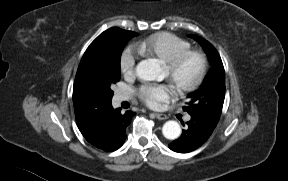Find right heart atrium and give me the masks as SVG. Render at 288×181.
<instances>
[{
	"label": "right heart atrium",
	"instance_id": "right-heart-atrium-1",
	"mask_svg": "<svg viewBox=\"0 0 288 181\" xmlns=\"http://www.w3.org/2000/svg\"><path fill=\"white\" fill-rule=\"evenodd\" d=\"M138 55L133 47H127L121 54L119 67L121 73L126 77H131L135 73Z\"/></svg>",
	"mask_w": 288,
	"mask_h": 181
}]
</instances>
